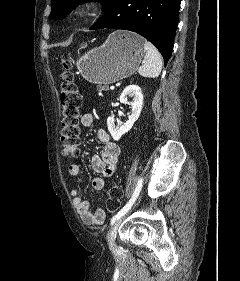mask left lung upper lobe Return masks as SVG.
Instances as JSON below:
<instances>
[{"label":"left lung upper lobe","mask_w":240,"mask_h":281,"mask_svg":"<svg viewBox=\"0 0 240 281\" xmlns=\"http://www.w3.org/2000/svg\"><path fill=\"white\" fill-rule=\"evenodd\" d=\"M89 0H51L52 10L49 19L59 20L64 18L77 5ZM103 11L109 6L113 0H101Z\"/></svg>","instance_id":"5c2ea615"}]
</instances>
